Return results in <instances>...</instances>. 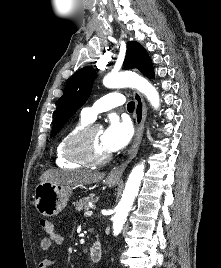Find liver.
Instances as JSON below:
<instances>
[{
  "label": "liver",
  "mask_w": 221,
  "mask_h": 268,
  "mask_svg": "<svg viewBox=\"0 0 221 268\" xmlns=\"http://www.w3.org/2000/svg\"><path fill=\"white\" fill-rule=\"evenodd\" d=\"M103 178L104 173L100 172L49 169L42 173L39 180L40 182H50L68 186H83L97 183Z\"/></svg>",
  "instance_id": "liver-1"
}]
</instances>
